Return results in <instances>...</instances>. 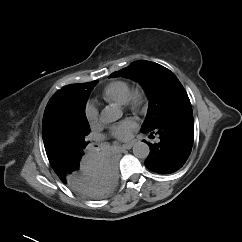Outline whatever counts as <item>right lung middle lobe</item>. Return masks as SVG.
<instances>
[{
    "label": "right lung middle lobe",
    "instance_id": "right-lung-middle-lobe-1",
    "mask_svg": "<svg viewBox=\"0 0 242 242\" xmlns=\"http://www.w3.org/2000/svg\"><path fill=\"white\" fill-rule=\"evenodd\" d=\"M97 82L96 80L91 83V88L77 109L58 112L47 121L43 141L49 161L65 162L84 156L83 149L88 144L85 137L90 132L85 116V104L90 91Z\"/></svg>",
    "mask_w": 242,
    "mask_h": 242
}]
</instances>
